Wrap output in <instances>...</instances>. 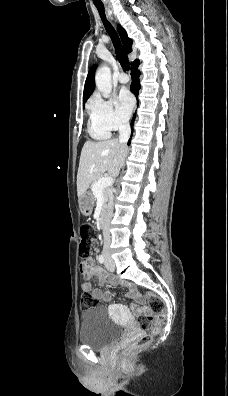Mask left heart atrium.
Returning a JSON list of instances; mask_svg holds the SVG:
<instances>
[{
	"label": "left heart atrium",
	"instance_id": "left-heart-atrium-1",
	"mask_svg": "<svg viewBox=\"0 0 228 396\" xmlns=\"http://www.w3.org/2000/svg\"><path fill=\"white\" fill-rule=\"evenodd\" d=\"M133 106L134 98L132 94L126 89L121 90L116 98V108L118 114L122 118L127 119L133 109Z\"/></svg>",
	"mask_w": 228,
	"mask_h": 396
}]
</instances>
